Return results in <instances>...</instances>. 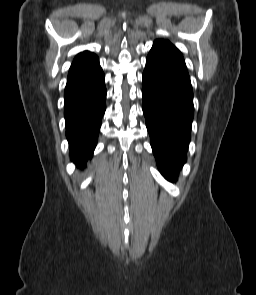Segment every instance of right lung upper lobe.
I'll list each match as a JSON object with an SVG mask.
<instances>
[{
    "label": "right lung upper lobe",
    "instance_id": "right-lung-upper-lobe-1",
    "mask_svg": "<svg viewBox=\"0 0 256 295\" xmlns=\"http://www.w3.org/2000/svg\"><path fill=\"white\" fill-rule=\"evenodd\" d=\"M91 56H95V54H93V53H91V52H89V51H84V52H82V53H79V54L75 57L73 63H74V62H77V61H79V60H82V59H85V58L91 57Z\"/></svg>",
    "mask_w": 256,
    "mask_h": 295
}]
</instances>
